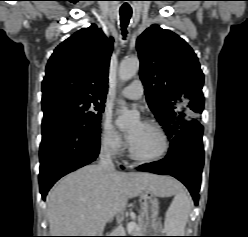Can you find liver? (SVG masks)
Wrapping results in <instances>:
<instances>
[{"instance_id": "6515ba94", "label": "liver", "mask_w": 248, "mask_h": 237, "mask_svg": "<svg viewBox=\"0 0 248 237\" xmlns=\"http://www.w3.org/2000/svg\"><path fill=\"white\" fill-rule=\"evenodd\" d=\"M179 185L168 177L85 166L61 179L47 196L51 236H101L107 221L145 190L160 194Z\"/></svg>"}]
</instances>
